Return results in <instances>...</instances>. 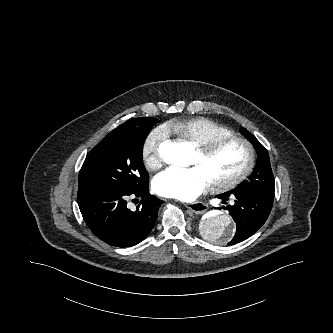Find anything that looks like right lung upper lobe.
Wrapping results in <instances>:
<instances>
[{
  "label": "right lung upper lobe",
  "instance_id": "right-lung-upper-lobe-1",
  "mask_svg": "<svg viewBox=\"0 0 333 333\" xmlns=\"http://www.w3.org/2000/svg\"><path fill=\"white\" fill-rule=\"evenodd\" d=\"M144 117H140V118H135V119H130L128 121H126L125 123H123L122 125L120 126H129V125H132L133 123H135L137 120H141L143 119Z\"/></svg>",
  "mask_w": 333,
  "mask_h": 333
}]
</instances>
